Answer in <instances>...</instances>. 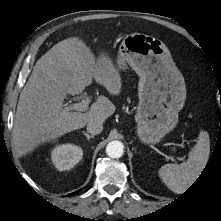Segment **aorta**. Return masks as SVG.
<instances>
[{
	"mask_svg": "<svg viewBox=\"0 0 221 221\" xmlns=\"http://www.w3.org/2000/svg\"><path fill=\"white\" fill-rule=\"evenodd\" d=\"M123 143L120 141H111L106 147V153L111 158H120L123 155Z\"/></svg>",
	"mask_w": 221,
	"mask_h": 221,
	"instance_id": "aorta-1",
	"label": "aorta"
}]
</instances>
